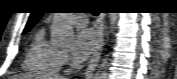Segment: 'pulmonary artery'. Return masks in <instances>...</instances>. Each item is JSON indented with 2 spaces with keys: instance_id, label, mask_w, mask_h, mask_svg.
Returning <instances> with one entry per match:
<instances>
[{
  "instance_id": "obj_1",
  "label": "pulmonary artery",
  "mask_w": 177,
  "mask_h": 79,
  "mask_svg": "<svg viewBox=\"0 0 177 79\" xmlns=\"http://www.w3.org/2000/svg\"><path fill=\"white\" fill-rule=\"evenodd\" d=\"M69 21L75 25L85 26L88 22V19L85 14H73L70 15Z\"/></svg>"
}]
</instances>
